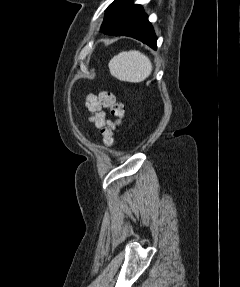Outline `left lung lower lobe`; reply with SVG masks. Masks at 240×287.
Masks as SVG:
<instances>
[{
	"label": "left lung lower lobe",
	"mask_w": 240,
	"mask_h": 287,
	"mask_svg": "<svg viewBox=\"0 0 240 287\" xmlns=\"http://www.w3.org/2000/svg\"><path fill=\"white\" fill-rule=\"evenodd\" d=\"M101 32L115 36H130L156 49V36L140 5L130 0H115L105 14Z\"/></svg>",
	"instance_id": "0a47b994"
}]
</instances>
